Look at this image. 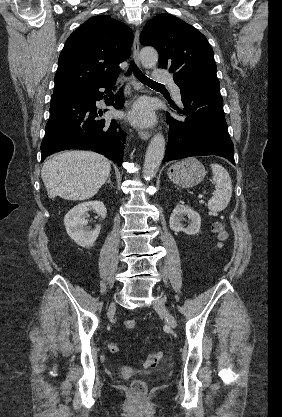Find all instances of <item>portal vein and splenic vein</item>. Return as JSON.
<instances>
[{"label":"portal vein and splenic vein","mask_w":282,"mask_h":417,"mask_svg":"<svg viewBox=\"0 0 282 417\" xmlns=\"http://www.w3.org/2000/svg\"><path fill=\"white\" fill-rule=\"evenodd\" d=\"M211 196H214V193H211Z\"/></svg>","instance_id":"portal-vein-and-splenic-vein-1"}]
</instances>
